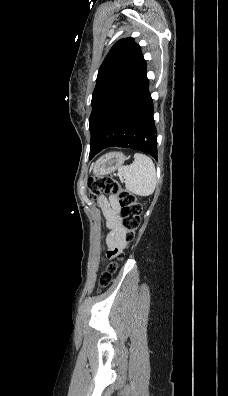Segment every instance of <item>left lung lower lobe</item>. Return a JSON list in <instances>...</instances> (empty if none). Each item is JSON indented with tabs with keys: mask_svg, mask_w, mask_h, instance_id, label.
Listing matches in <instances>:
<instances>
[{
	"mask_svg": "<svg viewBox=\"0 0 228 396\" xmlns=\"http://www.w3.org/2000/svg\"><path fill=\"white\" fill-rule=\"evenodd\" d=\"M124 100L122 111L110 118L96 135L98 151L117 146L143 151L157 159V131L154 124V108L149 92V80L145 72L116 100L110 108L115 110Z\"/></svg>",
	"mask_w": 228,
	"mask_h": 396,
	"instance_id": "0a47b994",
	"label": "left lung lower lobe"
}]
</instances>
